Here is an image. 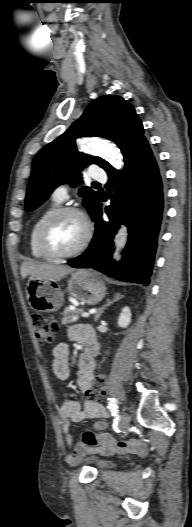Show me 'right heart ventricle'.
<instances>
[{"mask_svg":"<svg viewBox=\"0 0 192 527\" xmlns=\"http://www.w3.org/2000/svg\"><path fill=\"white\" fill-rule=\"evenodd\" d=\"M60 202H57L53 200L49 205H47L34 219L30 232H29V249L33 257L37 259H48L44 256V254L41 252L38 246L37 242V235L38 230L43 223V221L46 219V217L53 212L56 208H58Z\"/></svg>","mask_w":192,"mask_h":527,"instance_id":"e07e8e85","label":"right heart ventricle"}]
</instances>
